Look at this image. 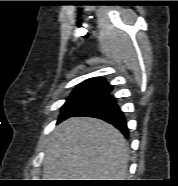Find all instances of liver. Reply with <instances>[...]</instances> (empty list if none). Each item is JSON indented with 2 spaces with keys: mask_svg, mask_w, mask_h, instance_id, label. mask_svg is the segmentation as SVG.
Returning <instances> with one entry per match:
<instances>
[{
  "mask_svg": "<svg viewBox=\"0 0 178 186\" xmlns=\"http://www.w3.org/2000/svg\"><path fill=\"white\" fill-rule=\"evenodd\" d=\"M129 146L111 124L89 117L69 118L46 146L44 180H125Z\"/></svg>",
  "mask_w": 178,
  "mask_h": 186,
  "instance_id": "6515ba94",
  "label": "liver"
}]
</instances>
